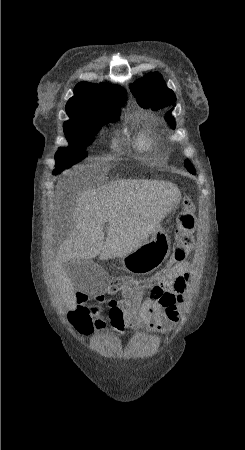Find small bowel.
<instances>
[{"mask_svg":"<svg viewBox=\"0 0 245 450\" xmlns=\"http://www.w3.org/2000/svg\"><path fill=\"white\" fill-rule=\"evenodd\" d=\"M190 264L184 262L173 267H166L162 272L147 280L138 290H123L120 299L110 300L112 292L92 297L97 304H106L108 319L114 337L126 330L144 326L149 332L166 335L172 324L182 317L180 305L184 302V293L190 280ZM66 309L72 313L76 309L74 302H67ZM99 331L104 324L95 321Z\"/></svg>","mask_w":245,"mask_h":450,"instance_id":"c3829d8e","label":"small bowel"}]
</instances>
